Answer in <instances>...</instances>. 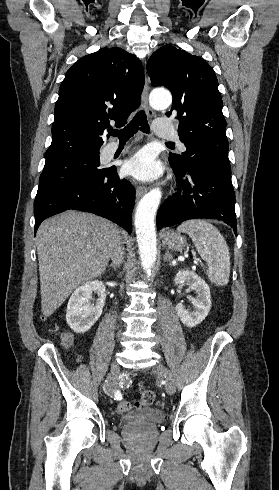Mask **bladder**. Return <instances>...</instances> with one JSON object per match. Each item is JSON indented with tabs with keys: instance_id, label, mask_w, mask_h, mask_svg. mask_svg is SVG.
<instances>
[{
	"instance_id": "bladder-1",
	"label": "bladder",
	"mask_w": 279,
	"mask_h": 490,
	"mask_svg": "<svg viewBox=\"0 0 279 490\" xmlns=\"http://www.w3.org/2000/svg\"><path fill=\"white\" fill-rule=\"evenodd\" d=\"M165 420V414L156 406H142L131 410L120 419L122 428H130L139 425H157Z\"/></svg>"
}]
</instances>
